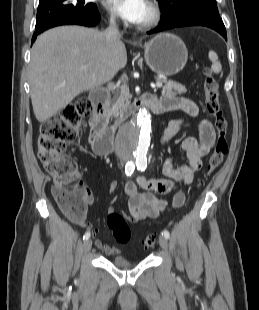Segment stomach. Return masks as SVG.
Returning <instances> with one entry per match:
<instances>
[{"instance_id":"stomach-1","label":"stomach","mask_w":259,"mask_h":310,"mask_svg":"<svg viewBox=\"0 0 259 310\" xmlns=\"http://www.w3.org/2000/svg\"><path fill=\"white\" fill-rule=\"evenodd\" d=\"M144 58L152 71L173 76L184 68L188 51L179 37L161 33L144 45Z\"/></svg>"}]
</instances>
